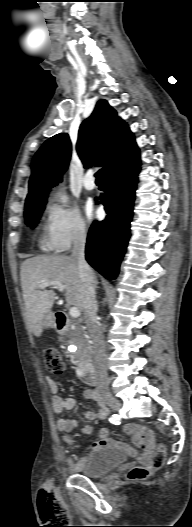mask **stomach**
I'll list each match as a JSON object with an SVG mask.
<instances>
[{"label":"stomach","instance_id":"stomach-1","mask_svg":"<svg viewBox=\"0 0 192 527\" xmlns=\"http://www.w3.org/2000/svg\"><path fill=\"white\" fill-rule=\"evenodd\" d=\"M44 327L47 328H55L56 327V321L54 318V315L52 313H49L45 319Z\"/></svg>","mask_w":192,"mask_h":527}]
</instances>
